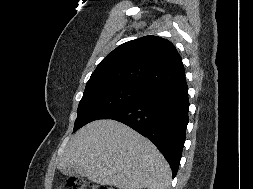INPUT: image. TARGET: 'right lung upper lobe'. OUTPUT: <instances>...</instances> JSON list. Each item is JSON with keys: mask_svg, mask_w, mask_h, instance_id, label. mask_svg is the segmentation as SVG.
Returning <instances> with one entry per match:
<instances>
[{"mask_svg": "<svg viewBox=\"0 0 253 189\" xmlns=\"http://www.w3.org/2000/svg\"><path fill=\"white\" fill-rule=\"evenodd\" d=\"M184 79L185 69L175 46L158 36H144L108 54L92 73L85 91L106 86L149 91Z\"/></svg>", "mask_w": 253, "mask_h": 189, "instance_id": "right-lung-upper-lobe-1", "label": "right lung upper lobe"}]
</instances>
